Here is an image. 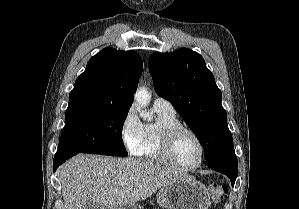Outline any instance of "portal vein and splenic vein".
<instances>
[{"label": "portal vein and splenic vein", "mask_w": 299, "mask_h": 209, "mask_svg": "<svg viewBox=\"0 0 299 209\" xmlns=\"http://www.w3.org/2000/svg\"><path fill=\"white\" fill-rule=\"evenodd\" d=\"M119 184H120V185H125L126 182H125V181H119Z\"/></svg>", "instance_id": "1"}]
</instances>
